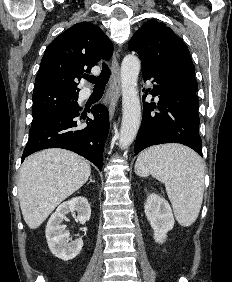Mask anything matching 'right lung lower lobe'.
Wrapping results in <instances>:
<instances>
[{
	"label": "right lung lower lobe",
	"instance_id": "98d812e1",
	"mask_svg": "<svg viewBox=\"0 0 232 282\" xmlns=\"http://www.w3.org/2000/svg\"><path fill=\"white\" fill-rule=\"evenodd\" d=\"M81 108L64 110L45 121L31 125L29 141L22 156L47 148H64L71 150L102 169L103 149L109 131L107 108L98 104L88 110L94 119L86 118L87 111L82 112L80 119L87 123L79 128L77 117Z\"/></svg>",
	"mask_w": 232,
	"mask_h": 282
}]
</instances>
